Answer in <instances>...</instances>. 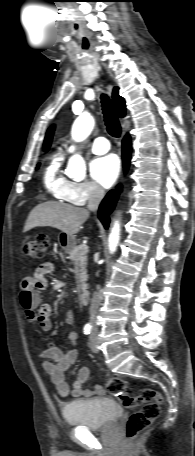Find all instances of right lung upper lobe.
Masks as SVG:
<instances>
[{"mask_svg": "<svg viewBox=\"0 0 195 456\" xmlns=\"http://www.w3.org/2000/svg\"><path fill=\"white\" fill-rule=\"evenodd\" d=\"M118 90H119L118 87L114 88L112 97H113L114 104H115L118 115L120 117H124L125 113H126L125 101L121 96H119ZM53 132H54V126H51L46 133V137H45V141H44V151H47L48 148L50 147Z\"/></svg>", "mask_w": 195, "mask_h": 456, "instance_id": "1", "label": "right lung upper lobe"}]
</instances>
